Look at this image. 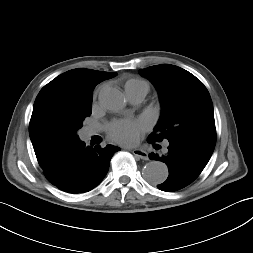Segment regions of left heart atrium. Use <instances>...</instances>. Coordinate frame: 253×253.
I'll use <instances>...</instances> for the list:
<instances>
[{"label": "left heart atrium", "instance_id": "1", "mask_svg": "<svg viewBox=\"0 0 253 253\" xmlns=\"http://www.w3.org/2000/svg\"><path fill=\"white\" fill-rule=\"evenodd\" d=\"M147 127L148 123L144 119L118 120L110 125L108 133L110 138L116 142L132 144Z\"/></svg>", "mask_w": 253, "mask_h": 253}]
</instances>
